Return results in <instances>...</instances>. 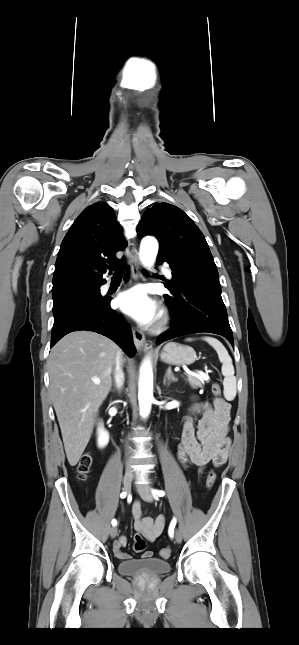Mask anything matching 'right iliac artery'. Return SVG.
Listing matches in <instances>:
<instances>
[{"label": "right iliac artery", "mask_w": 299, "mask_h": 645, "mask_svg": "<svg viewBox=\"0 0 299 645\" xmlns=\"http://www.w3.org/2000/svg\"><path fill=\"white\" fill-rule=\"evenodd\" d=\"M126 495H127V493H126V492H122V493L120 494V497H121V498H125V497H126ZM116 524H117V521H116L115 519H113V520H112V525H113V526H116Z\"/></svg>", "instance_id": "obj_1"}]
</instances>
